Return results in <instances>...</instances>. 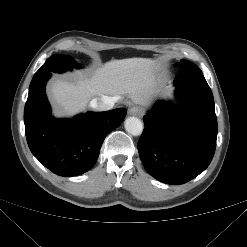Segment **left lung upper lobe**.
<instances>
[{
  "mask_svg": "<svg viewBox=\"0 0 247 247\" xmlns=\"http://www.w3.org/2000/svg\"><path fill=\"white\" fill-rule=\"evenodd\" d=\"M174 66L179 68V71L174 79V85L207 83L201 70L192 62L181 60Z\"/></svg>",
  "mask_w": 247,
  "mask_h": 247,
  "instance_id": "obj_1",
  "label": "left lung upper lobe"
}]
</instances>
